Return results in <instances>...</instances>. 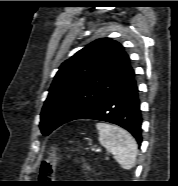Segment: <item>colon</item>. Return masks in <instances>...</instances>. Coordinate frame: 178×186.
I'll return each mask as SVG.
<instances>
[{
  "instance_id": "colon-1",
  "label": "colon",
  "mask_w": 178,
  "mask_h": 186,
  "mask_svg": "<svg viewBox=\"0 0 178 186\" xmlns=\"http://www.w3.org/2000/svg\"><path fill=\"white\" fill-rule=\"evenodd\" d=\"M59 159V146L54 145L49 150L48 156L41 162L39 178L44 182H52L55 177L56 165Z\"/></svg>"
}]
</instances>
